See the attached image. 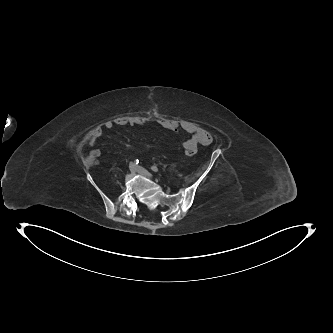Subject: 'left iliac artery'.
Here are the masks:
<instances>
[{"mask_svg": "<svg viewBox=\"0 0 333 333\" xmlns=\"http://www.w3.org/2000/svg\"><path fill=\"white\" fill-rule=\"evenodd\" d=\"M151 169H152L154 172H158V171H159L158 167L155 166V165L151 166Z\"/></svg>", "mask_w": 333, "mask_h": 333, "instance_id": "left-iliac-artery-1", "label": "left iliac artery"}]
</instances>
